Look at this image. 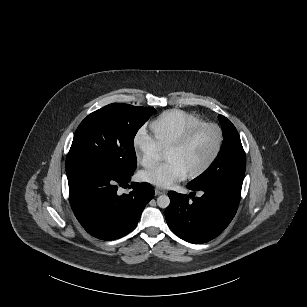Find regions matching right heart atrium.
I'll return each instance as SVG.
<instances>
[{"instance_id":"right-heart-atrium-1","label":"right heart atrium","mask_w":307,"mask_h":307,"mask_svg":"<svg viewBox=\"0 0 307 307\" xmlns=\"http://www.w3.org/2000/svg\"><path fill=\"white\" fill-rule=\"evenodd\" d=\"M132 149L137 162L146 168L155 166L161 158L158 145L148 136L134 138Z\"/></svg>"}]
</instances>
